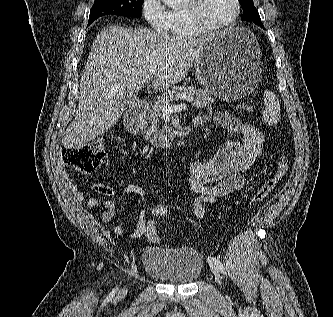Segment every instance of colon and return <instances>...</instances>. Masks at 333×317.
I'll use <instances>...</instances> for the list:
<instances>
[{
	"label": "colon",
	"instance_id": "5ec220e1",
	"mask_svg": "<svg viewBox=\"0 0 333 317\" xmlns=\"http://www.w3.org/2000/svg\"><path fill=\"white\" fill-rule=\"evenodd\" d=\"M241 110L252 113L253 108L249 104H242ZM104 158L103 143L100 140L87 143L76 148H68L63 152V161L82 174H91L101 165ZM289 166L284 156H281L275 172L269 176L257 188L252 196V202H263L279 185L280 181L288 172ZM171 211L165 204L158 203L148 209L145 221L146 234L153 242H160L157 227L162 221L169 219Z\"/></svg>",
	"mask_w": 333,
	"mask_h": 317
}]
</instances>
